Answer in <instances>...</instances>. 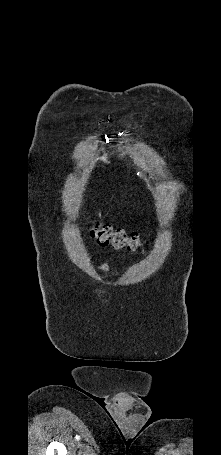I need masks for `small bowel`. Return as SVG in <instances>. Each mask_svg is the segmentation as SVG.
I'll return each mask as SVG.
<instances>
[{"label": "small bowel", "mask_w": 221, "mask_h": 455, "mask_svg": "<svg viewBox=\"0 0 221 455\" xmlns=\"http://www.w3.org/2000/svg\"><path fill=\"white\" fill-rule=\"evenodd\" d=\"M97 269L99 274L101 275H106L108 273H111L116 277H121L122 275L121 271L114 264H111L110 262L104 259L98 263Z\"/></svg>", "instance_id": "1"}]
</instances>
